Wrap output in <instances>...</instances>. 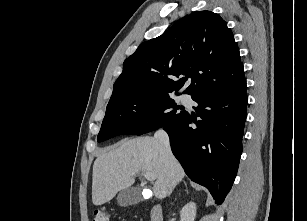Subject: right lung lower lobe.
<instances>
[{
    "instance_id": "right-lung-lower-lobe-1",
    "label": "right lung lower lobe",
    "mask_w": 307,
    "mask_h": 221,
    "mask_svg": "<svg viewBox=\"0 0 307 221\" xmlns=\"http://www.w3.org/2000/svg\"><path fill=\"white\" fill-rule=\"evenodd\" d=\"M201 118L186 114L163 127L171 148L188 177L210 191L222 204L235 180L242 153L246 120V82L234 89L209 93L193 99ZM192 121L196 128L191 126Z\"/></svg>"
}]
</instances>
